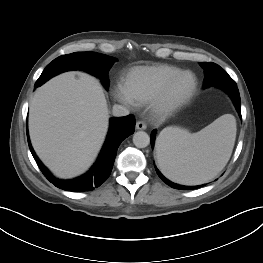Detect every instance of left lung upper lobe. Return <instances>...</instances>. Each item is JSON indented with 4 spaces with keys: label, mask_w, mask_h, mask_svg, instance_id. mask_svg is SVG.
<instances>
[{
    "label": "left lung upper lobe",
    "mask_w": 263,
    "mask_h": 263,
    "mask_svg": "<svg viewBox=\"0 0 263 263\" xmlns=\"http://www.w3.org/2000/svg\"><path fill=\"white\" fill-rule=\"evenodd\" d=\"M216 75V78H214V84L216 86L222 85L224 83H235V81L228 75V73L221 69Z\"/></svg>",
    "instance_id": "1"
}]
</instances>
